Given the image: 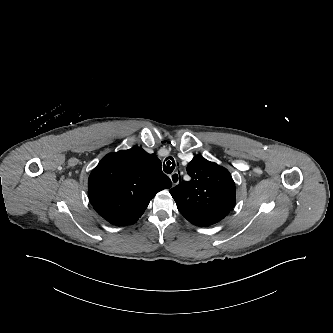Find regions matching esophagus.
Listing matches in <instances>:
<instances>
[{
	"mask_svg": "<svg viewBox=\"0 0 333 333\" xmlns=\"http://www.w3.org/2000/svg\"><path fill=\"white\" fill-rule=\"evenodd\" d=\"M170 179H171L172 185L176 186L180 181V174L178 172H173L170 175Z\"/></svg>",
	"mask_w": 333,
	"mask_h": 333,
	"instance_id": "34e87169",
	"label": "esophagus"
}]
</instances>
